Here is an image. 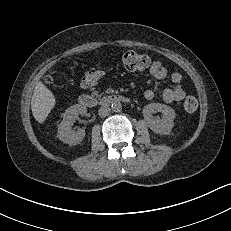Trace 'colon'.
<instances>
[{
  "label": "colon",
  "instance_id": "colon-1",
  "mask_svg": "<svg viewBox=\"0 0 231 231\" xmlns=\"http://www.w3.org/2000/svg\"><path fill=\"white\" fill-rule=\"evenodd\" d=\"M122 64L124 68L130 72H142L147 69L150 65V58L145 55L135 51H128L122 56ZM47 82H53L54 78L52 75L47 77ZM184 109L192 113L198 108V101L193 96H188L183 103Z\"/></svg>",
  "mask_w": 231,
  "mask_h": 231
}]
</instances>
